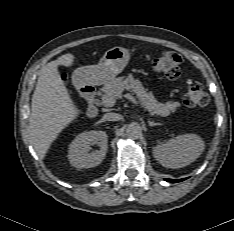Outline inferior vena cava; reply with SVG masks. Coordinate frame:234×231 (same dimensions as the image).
Segmentation results:
<instances>
[{
    "label": "inferior vena cava",
    "mask_w": 234,
    "mask_h": 231,
    "mask_svg": "<svg viewBox=\"0 0 234 231\" xmlns=\"http://www.w3.org/2000/svg\"><path fill=\"white\" fill-rule=\"evenodd\" d=\"M103 119L106 121H118L121 119V115L117 113H106Z\"/></svg>",
    "instance_id": "inferior-vena-cava-1"
}]
</instances>
